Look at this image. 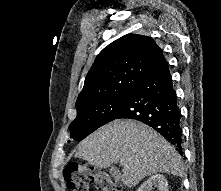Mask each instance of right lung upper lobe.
I'll return each mask as SVG.
<instances>
[{"instance_id":"obj_1","label":"right lung upper lobe","mask_w":221,"mask_h":191,"mask_svg":"<svg viewBox=\"0 0 221 191\" xmlns=\"http://www.w3.org/2000/svg\"><path fill=\"white\" fill-rule=\"evenodd\" d=\"M165 62L152 38L122 36L97 55L77 98L76 109L131 91Z\"/></svg>"}]
</instances>
